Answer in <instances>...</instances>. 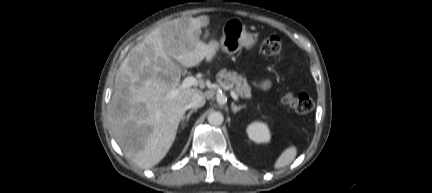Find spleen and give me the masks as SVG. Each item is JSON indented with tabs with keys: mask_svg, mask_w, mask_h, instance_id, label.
Listing matches in <instances>:
<instances>
[{
	"mask_svg": "<svg viewBox=\"0 0 432 193\" xmlns=\"http://www.w3.org/2000/svg\"><path fill=\"white\" fill-rule=\"evenodd\" d=\"M296 155H297V148L293 145L289 146L277 158V160L274 164V168L280 169V168H283V167L289 165L291 162H293Z\"/></svg>",
	"mask_w": 432,
	"mask_h": 193,
	"instance_id": "3e777b00",
	"label": "spleen"
}]
</instances>
